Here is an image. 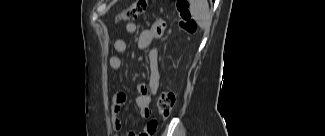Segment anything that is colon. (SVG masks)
<instances>
[{
  "label": "colon",
  "instance_id": "1",
  "mask_svg": "<svg viewBox=\"0 0 325 136\" xmlns=\"http://www.w3.org/2000/svg\"><path fill=\"white\" fill-rule=\"evenodd\" d=\"M146 4V0H135L130 7L122 12L120 20L129 22L137 19L145 11ZM176 9L180 15V25L182 29L187 32H194L196 24L191 18L188 0H177ZM175 100L176 98L173 92L168 90L161 92L158 97L157 107L159 115L162 118H167L171 115Z\"/></svg>",
  "mask_w": 325,
  "mask_h": 136
}]
</instances>
